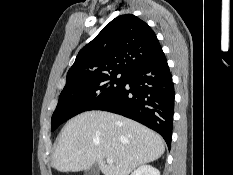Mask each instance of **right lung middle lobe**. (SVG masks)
Listing matches in <instances>:
<instances>
[{"instance_id":"dd1d6c3e","label":"right lung middle lobe","mask_w":233,"mask_h":175,"mask_svg":"<svg viewBox=\"0 0 233 175\" xmlns=\"http://www.w3.org/2000/svg\"><path fill=\"white\" fill-rule=\"evenodd\" d=\"M127 77L126 73L110 72L66 82L52 115L51 131L75 115L110 101L125 86Z\"/></svg>"}]
</instances>
